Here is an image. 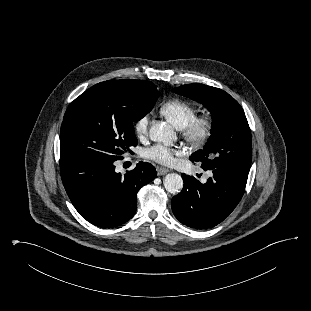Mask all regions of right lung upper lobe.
<instances>
[{"mask_svg": "<svg viewBox=\"0 0 311 311\" xmlns=\"http://www.w3.org/2000/svg\"><path fill=\"white\" fill-rule=\"evenodd\" d=\"M126 81L131 82V83L136 84V85H139V86H146V85L153 84L152 82L141 81V80H126Z\"/></svg>", "mask_w": 311, "mask_h": 311, "instance_id": "right-lung-upper-lobe-1", "label": "right lung upper lobe"}]
</instances>
